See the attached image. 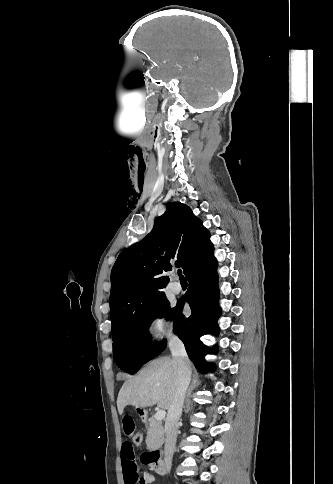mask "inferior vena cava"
Listing matches in <instances>:
<instances>
[{"mask_svg": "<svg viewBox=\"0 0 333 484\" xmlns=\"http://www.w3.org/2000/svg\"><path fill=\"white\" fill-rule=\"evenodd\" d=\"M169 348L173 359L178 364V385L165 422L164 461L168 472L172 465L178 421L182 414L186 391L191 381V363L183 342L177 336L173 335L169 341Z\"/></svg>", "mask_w": 333, "mask_h": 484, "instance_id": "1", "label": "inferior vena cava"}]
</instances>
